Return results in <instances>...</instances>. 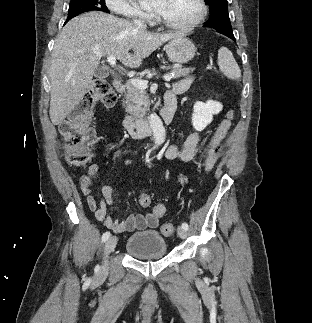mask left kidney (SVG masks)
Returning a JSON list of instances; mask_svg holds the SVG:
<instances>
[{
    "label": "left kidney",
    "mask_w": 312,
    "mask_h": 323,
    "mask_svg": "<svg viewBox=\"0 0 312 323\" xmlns=\"http://www.w3.org/2000/svg\"><path fill=\"white\" fill-rule=\"evenodd\" d=\"M223 106L220 102H213V100H208L206 104L204 102H196L193 108L192 114V126L197 130V132H202L205 130L208 124H211L213 116L221 112Z\"/></svg>",
    "instance_id": "obj_1"
}]
</instances>
